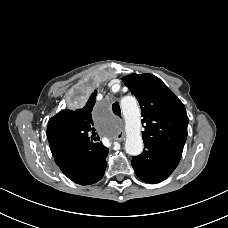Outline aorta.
I'll list each match as a JSON object with an SVG mask.
<instances>
[{
	"label": "aorta",
	"mask_w": 228,
	"mask_h": 228,
	"mask_svg": "<svg viewBox=\"0 0 228 228\" xmlns=\"http://www.w3.org/2000/svg\"><path fill=\"white\" fill-rule=\"evenodd\" d=\"M121 109L126 123V153L132 156H137L143 151L140 108L137 105L136 99L128 96L121 100Z\"/></svg>",
	"instance_id": "obj_1"
}]
</instances>
